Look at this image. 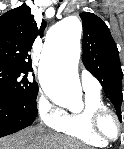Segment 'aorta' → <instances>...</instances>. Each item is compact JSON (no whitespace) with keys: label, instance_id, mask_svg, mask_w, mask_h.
<instances>
[{"label":"aorta","instance_id":"762f6f07","mask_svg":"<svg viewBox=\"0 0 124 149\" xmlns=\"http://www.w3.org/2000/svg\"><path fill=\"white\" fill-rule=\"evenodd\" d=\"M81 21L68 16L50 31L39 66V82L44 93L65 106H82L78 76Z\"/></svg>","mask_w":124,"mask_h":149}]
</instances>
